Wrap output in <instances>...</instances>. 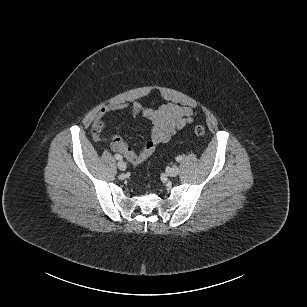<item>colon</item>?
<instances>
[{
	"label": "colon",
	"instance_id": "1",
	"mask_svg": "<svg viewBox=\"0 0 307 307\" xmlns=\"http://www.w3.org/2000/svg\"><path fill=\"white\" fill-rule=\"evenodd\" d=\"M194 133H195V135H197L199 137H203L206 134V130L203 126L197 125L194 128ZM111 146H112L113 150L121 151L125 147V142L123 141V139L121 137L113 136L112 139H111Z\"/></svg>",
	"mask_w": 307,
	"mask_h": 307
}]
</instances>
